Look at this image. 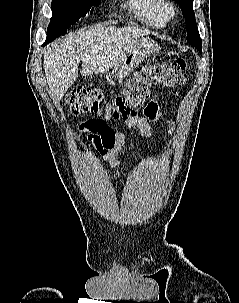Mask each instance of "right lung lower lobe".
Returning a JSON list of instances; mask_svg holds the SVG:
<instances>
[{
	"mask_svg": "<svg viewBox=\"0 0 239 303\" xmlns=\"http://www.w3.org/2000/svg\"><path fill=\"white\" fill-rule=\"evenodd\" d=\"M48 42H50V40H49V39H46V43H48Z\"/></svg>",
	"mask_w": 239,
	"mask_h": 303,
	"instance_id": "1",
	"label": "right lung lower lobe"
}]
</instances>
